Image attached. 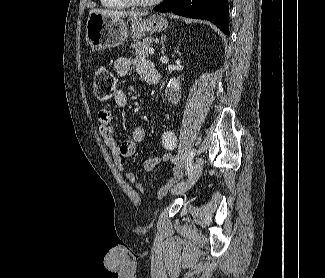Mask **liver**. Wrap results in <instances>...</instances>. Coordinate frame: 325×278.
<instances>
[{
	"mask_svg": "<svg viewBox=\"0 0 325 278\" xmlns=\"http://www.w3.org/2000/svg\"><path fill=\"white\" fill-rule=\"evenodd\" d=\"M100 13L102 15L110 16V17H115V18H122V17H141V16H146L148 12H139V11H132V12H123V11H114V10H109V9H92L90 11L91 13Z\"/></svg>",
	"mask_w": 325,
	"mask_h": 278,
	"instance_id": "liver-1",
	"label": "liver"
}]
</instances>
